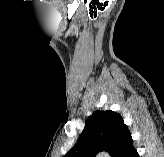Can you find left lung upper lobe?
Segmentation results:
<instances>
[{"label": "left lung upper lobe", "mask_w": 164, "mask_h": 157, "mask_svg": "<svg viewBox=\"0 0 164 157\" xmlns=\"http://www.w3.org/2000/svg\"><path fill=\"white\" fill-rule=\"evenodd\" d=\"M131 134L120 114L95 111L86 121L75 146L64 157H95L106 151L111 157Z\"/></svg>", "instance_id": "obj_1"}]
</instances>
